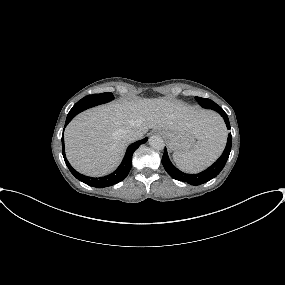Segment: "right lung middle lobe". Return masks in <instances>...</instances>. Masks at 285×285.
<instances>
[{"label": "right lung middle lobe", "mask_w": 285, "mask_h": 285, "mask_svg": "<svg viewBox=\"0 0 285 285\" xmlns=\"http://www.w3.org/2000/svg\"><path fill=\"white\" fill-rule=\"evenodd\" d=\"M114 98L112 93L92 94L82 98L70 110L67 116H76L78 113L90 107L106 103Z\"/></svg>", "instance_id": "right-lung-middle-lobe-1"}]
</instances>
